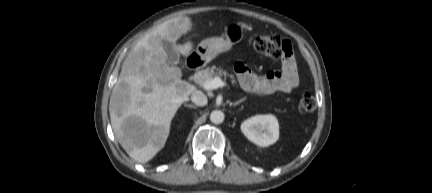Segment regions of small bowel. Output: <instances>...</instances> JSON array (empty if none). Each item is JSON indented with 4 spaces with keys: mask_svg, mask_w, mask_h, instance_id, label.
<instances>
[{
    "mask_svg": "<svg viewBox=\"0 0 432 193\" xmlns=\"http://www.w3.org/2000/svg\"><path fill=\"white\" fill-rule=\"evenodd\" d=\"M235 72L245 90L260 95L290 93L299 84L296 64L292 57L283 59L281 70L270 71L265 75L255 74L242 62L235 64Z\"/></svg>",
    "mask_w": 432,
    "mask_h": 193,
    "instance_id": "obj_1",
    "label": "small bowel"
}]
</instances>
